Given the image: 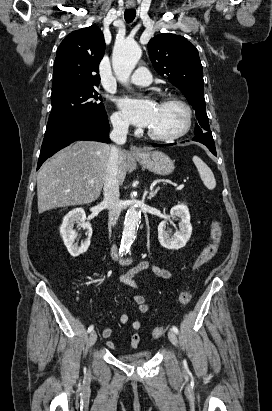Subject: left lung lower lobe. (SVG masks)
<instances>
[{
  "label": "left lung lower lobe",
  "instance_id": "obj_1",
  "mask_svg": "<svg viewBox=\"0 0 272 411\" xmlns=\"http://www.w3.org/2000/svg\"><path fill=\"white\" fill-rule=\"evenodd\" d=\"M192 140H193V141L200 142V143L206 145V146L209 148V150H210L215 156H217L216 149H215V144H214V140H213V137H212V133H211V132H207V133H204V134H202V135H198V136L194 137ZM174 144H175V143H173V144H165V146H170V145H174ZM153 146H154V147H161V146H164V145H162V144H153Z\"/></svg>",
  "mask_w": 272,
  "mask_h": 411
}]
</instances>
